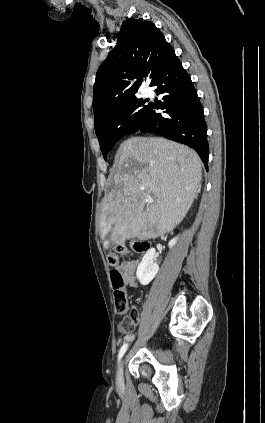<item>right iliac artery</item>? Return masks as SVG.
<instances>
[{"label":"right iliac artery","instance_id":"82829eb1","mask_svg":"<svg viewBox=\"0 0 265 423\" xmlns=\"http://www.w3.org/2000/svg\"><path fill=\"white\" fill-rule=\"evenodd\" d=\"M127 348H128V343H125V344L121 347V349H120V351H119V354H118V362L120 361V359H121V358L123 357V355L125 354V352H126Z\"/></svg>","mask_w":265,"mask_h":423}]
</instances>
